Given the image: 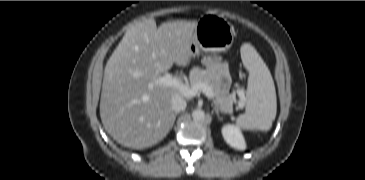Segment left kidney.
<instances>
[{
    "label": "left kidney",
    "instance_id": "obj_1",
    "mask_svg": "<svg viewBox=\"0 0 365 180\" xmlns=\"http://www.w3.org/2000/svg\"><path fill=\"white\" fill-rule=\"evenodd\" d=\"M224 140L233 148L244 150L246 148L244 137L241 131L233 125H225L222 128Z\"/></svg>",
    "mask_w": 365,
    "mask_h": 180
}]
</instances>
